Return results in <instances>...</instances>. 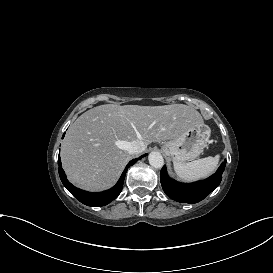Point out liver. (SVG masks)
Segmentation results:
<instances>
[{
    "label": "liver",
    "instance_id": "6515ba94",
    "mask_svg": "<svg viewBox=\"0 0 273 273\" xmlns=\"http://www.w3.org/2000/svg\"><path fill=\"white\" fill-rule=\"evenodd\" d=\"M201 113L186 104L140 106L104 104L83 113L66 133L61 162L68 181L88 192L112 188L119 180L130 155L127 145L175 139Z\"/></svg>",
    "mask_w": 273,
    "mask_h": 273
}]
</instances>
